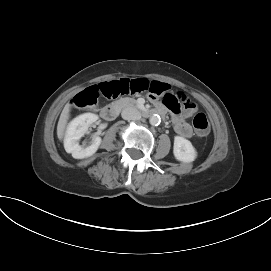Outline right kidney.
I'll use <instances>...</instances> for the list:
<instances>
[{
    "label": "right kidney",
    "mask_w": 271,
    "mask_h": 271,
    "mask_svg": "<svg viewBox=\"0 0 271 271\" xmlns=\"http://www.w3.org/2000/svg\"><path fill=\"white\" fill-rule=\"evenodd\" d=\"M98 119L93 113H85L74 118L68 125L64 139V148L75 159H83L92 156L99 148L102 139L93 135L90 146L79 145V140L88 131L89 126Z\"/></svg>",
    "instance_id": "obj_1"
}]
</instances>
